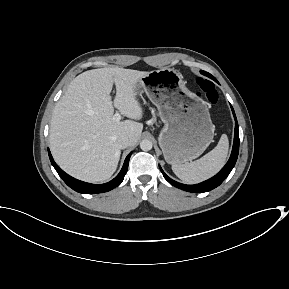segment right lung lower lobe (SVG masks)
I'll return each mask as SVG.
<instances>
[{"instance_id": "right-lung-lower-lobe-1", "label": "right lung lower lobe", "mask_w": 289, "mask_h": 289, "mask_svg": "<svg viewBox=\"0 0 289 289\" xmlns=\"http://www.w3.org/2000/svg\"><path fill=\"white\" fill-rule=\"evenodd\" d=\"M48 154L49 158L51 161V164L59 174V176L63 179V181L71 187L73 190L79 192V193H85V194H96V193H103L112 190L113 188L117 187L124 179L125 174L127 173L128 170V164H129V159L132 153H130L123 164V167L120 171V173L111 181L96 185V184H90L86 183L80 180H77L68 174H66L63 170H61L58 165L54 162L52 155L48 149Z\"/></svg>"}]
</instances>
